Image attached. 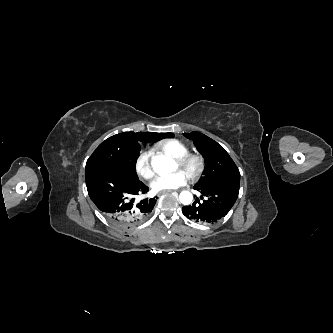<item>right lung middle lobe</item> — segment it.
Segmentation results:
<instances>
[{"mask_svg": "<svg viewBox=\"0 0 333 333\" xmlns=\"http://www.w3.org/2000/svg\"><path fill=\"white\" fill-rule=\"evenodd\" d=\"M173 133H157L158 138L173 137ZM140 149H133L123 133L114 135L102 142L86 163V170L104 168L138 179L136 161Z\"/></svg>", "mask_w": 333, "mask_h": 333, "instance_id": "dd1d6c3e", "label": "right lung middle lobe"}]
</instances>
